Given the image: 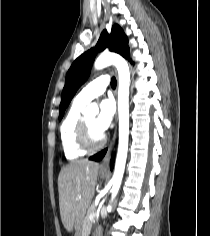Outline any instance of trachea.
Here are the masks:
<instances>
[{
  "label": "trachea",
  "mask_w": 210,
  "mask_h": 236,
  "mask_svg": "<svg viewBox=\"0 0 210 236\" xmlns=\"http://www.w3.org/2000/svg\"><path fill=\"white\" fill-rule=\"evenodd\" d=\"M111 87H112L113 89L116 88V79H115V77H112V78H111Z\"/></svg>",
  "instance_id": "1"
}]
</instances>
